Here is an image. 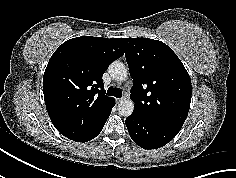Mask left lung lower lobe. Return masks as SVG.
<instances>
[{
	"label": "left lung lower lobe",
	"instance_id": "0a47b994",
	"mask_svg": "<svg viewBox=\"0 0 236 178\" xmlns=\"http://www.w3.org/2000/svg\"><path fill=\"white\" fill-rule=\"evenodd\" d=\"M132 140L144 149H157L170 142L181 127L132 113L125 120Z\"/></svg>",
	"mask_w": 236,
	"mask_h": 178
}]
</instances>
